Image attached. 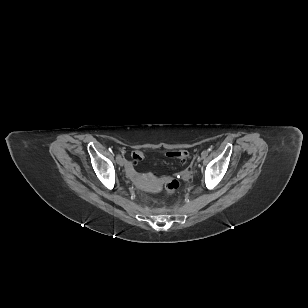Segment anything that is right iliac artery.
I'll list each match as a JSON object with an SVG mask.
<instances>
[{
  "label": "right iliac artery",
  "mask_w": 308,
  "mask_h": 308,
  "mask_svg": "<svg viewBox=\"0 0 308 308\" xmlns=\"http://www.w3.org/2000/svg\"><path fill=\"white\" fill-rule=\"evenodd\" d=\"M120 157H121L120 155H117L116 160L118 161L120 159Z\"/></svg>",
  "instance_id": "right-iliac-artery-1"
}]
</instances>
